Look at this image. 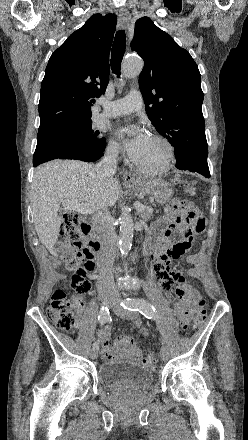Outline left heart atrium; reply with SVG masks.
Listing matches in <instances>:
<instances>
[{
    "mask_svg": "<svg viewBox=\"0 0 248 440\" xmlns=\"http://www.w3.org/2000/svg\"><path fill=\"white\" fill-rule=\"evenodd\" d=\"M116 135L122 139L124 148L133 161L141 157L150 139L145 129L139 124L120 126L116 130Z\"/></svg>",
    "mask_w": 248,
    "mask_h": 440,
    "instance_id": "obj_1",
    "label": "left heart atrium"
}]
</instances>
